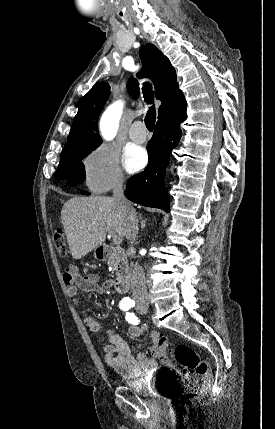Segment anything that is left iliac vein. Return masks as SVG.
Wrapping results in <instances>:
<instances>
[{
	"label": "left iliac vein",
	"instance_id": "4c4485c4",
	"mask_svg": "<svg viewBox=\"0 0 275 429\" xmlns=\"http://www.w3.org/2000/svg\"><path fill=\"white\" fill-rule=\"evenodd\" d=\"M147 310H148V308H147V307H139V308H138V312H139L140 314H145V313H147Z\"/></svg>",
	"mask_w": 275,
	"mask_h": 429
}]
</instances>
